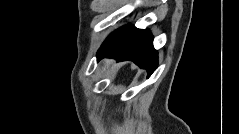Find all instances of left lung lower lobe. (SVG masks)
<instances>
[{"label":"left lung lower lobe","instance_id":"0a47b994","mask_svg":"<svg viewBox=\"0 0 239 134\" xmlns=\"http://www.w3.org/2000/svg\"><path fill=\"white\" fill-rule=\"evenodd\" d=\"M103 57L117 61L132 60L139 67L147 69L148 76L157 68V52L153 48L151 33L130 24L108 36L97 53V60Z\"/></svg>","mask_w":239,"mask_h":134}]
</instances>
